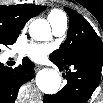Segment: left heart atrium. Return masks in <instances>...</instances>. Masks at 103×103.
I'll return each instance as SVG.
<instances>
[{
	"mask_svg": "<svg viewBox=\"0 0 103 103\" xmlns=\"http://www.w3.org/2000/svg\"><path fill=\"white\" fill-rule=\"evenodd\" d=\"M48 48L43 45L30 44L24 49L25 54L34 61H41L46 57Z\"/></svg>",
	"mask_w": 103,
	"mask_h": 103,
	"instance_id": "left-heart-atrium-1",
	"label": "left heart atrium"
}]
</instances>
